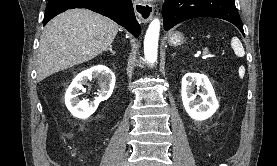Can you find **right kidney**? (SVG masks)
<instances>
[{"mask_svg": "<svg viewBox=\"0 0 277 166\" xmlns=\"http://www.w3.org/2000/svg\"><path fill=\"white\" fill-rule=\"evenodd\" d=\"M98 79L100 91L94 101L79 100V90L88 79ZM115 76L105 66H97L79 73L65 93V104L74 117L86 119L92 115L101 101L107 100L114 89Z\"/></svg>", "mask_w": 277, "mask_h": 166, "instance_id": "obj_1", "label": "right kidney"}]
</instances>
